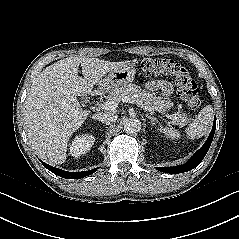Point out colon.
I'll list each match as a JSON object with an SVG mask.
<instances>
[{"mask_svg": "<svg viewBox=\"0 0 239 239\" xmlns=\"http://www.w3.org/2000/svg\"><path fill=\"white\" fill-rule=\"evenodd\" d=\"M140 69L147 75L169 76L174 80L178 93L190 109L200 106L199 88L190 72L181 64L169 59H146Z\"/></svg>", "mask_w": 239, "mask_h": 239, "instance_id": "1", "label": "colon"}]
</instances>
